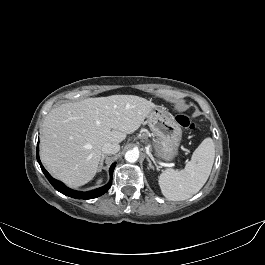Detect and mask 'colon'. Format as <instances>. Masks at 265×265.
I'll return each instance as SVG.
<instances>
[{
    "mask_svg": "<svg viewBox=\"0 0 265 265\" xmlns=\"http://www.w3.org/2000/svg\"><path fill=\"white\" fill-rule=\"evenodd\" d=\"M177 122L184 128L192 129L195 127L194 121L186 114H179L177 116Z\"/></svg>",
    "mask_w": 265,
    "mask_h": 265,
    "instance_id": "1",
    "label": "colon"
}]
</instances>
